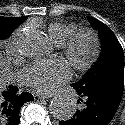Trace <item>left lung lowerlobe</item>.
<instances>
[{
    "instance_id": "1",
    "label": "left lung lower lobe",
    "mask_w": 125,
    "mask_h": 125,
    "mask_svg": "<svg viewBox=\"0 0 125 125\" xmlns=\"http://www.w3.org/2000/svg\"><path fill=\"white\" fill-rule=\"evenodd\" d=\"M72 86L81 97L78 102H82V107L59 125H108L118 109L123 89L116 87L82 93L78 87Z\"/></svg>"
}]
</instances>
